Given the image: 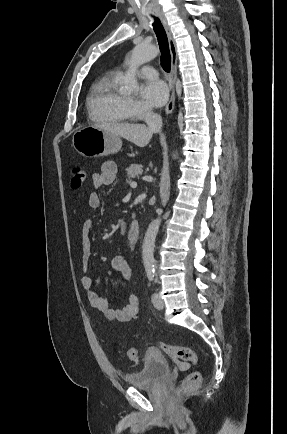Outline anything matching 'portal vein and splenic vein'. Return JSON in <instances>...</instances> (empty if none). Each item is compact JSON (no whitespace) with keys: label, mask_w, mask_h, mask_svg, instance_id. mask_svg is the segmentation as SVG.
I'll return each instance as SVG.
<instances>
[{"label":"portal vein and splenic vein","mask_w":287,"mask_h":434,"mask_svg":"<svg viewBox=\"0 0 287 434\" xmlns=\"http://www.w3.org/2000/svg\"><path fill=\"white\" fill-rule=\"evenodd\" d=\"M130 186H131L132 188H136V187H137V183L133 181V182L130 183Z\"/></svg>","instance_id":"1"}]
</instances>
